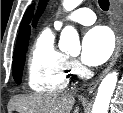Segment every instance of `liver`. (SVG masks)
<instances>
[{
  "mask_svg": "<svg viewBox=\"0 0 123 113\" xmlns=\"http://www.w3.org/2000/svg\"><path fill=\"white\" fill-rule=\"evenodd\" d=\"M74 102L75 98L71 93L34 94L15 97L11 107L18 113H71ZM78 112L77 106L74 113Z\"/></svg>",
  "mask_w": 123,
  "mask_h": 113,
  "instance_id": "obj_1",
  "label": "liver"
}]
</instances>
